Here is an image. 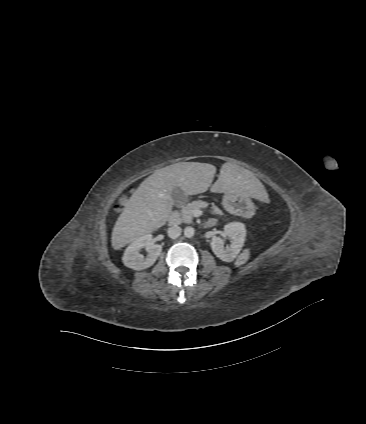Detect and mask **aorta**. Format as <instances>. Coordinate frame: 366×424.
<instances>
[{
  "instance_id": "762f6f07",
  "label": "aorta",
  "mask_w": 366,
  "mask_h": 424,
  "mask_svg": "<svg viewBox=\"0 0 366 424\" xmlns=\"http://www.w3.org/2000/svg\"><path fill=\"white\" fill-rule=\"evenodd\" d=\"M194 234H195V229L193 227L188 226V227H186L184 229V235H185V237L191 238V237L194 236Z\"/></svg>"
}]
</instances>
